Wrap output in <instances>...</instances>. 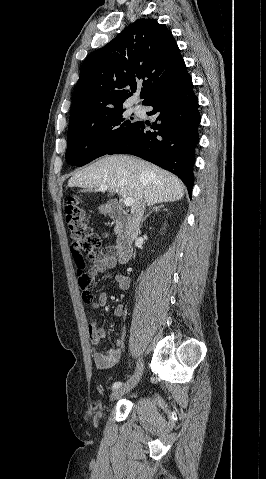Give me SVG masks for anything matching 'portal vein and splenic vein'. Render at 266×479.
Wrapping results in <instances>:
<instances>
[{
    "label": "portal vein and splenic vein",
    "mask_w": 266,
    "mask_h": 479,
    "mask_svg": "<svg viewBox=\"0 0 266 479\" xmlns=\"http://www.w3.org/2000/svg\"><path fill=\"white\" fill-rule=\"evenodd\" d=\"M107 189H108V187L106 185H102L98 188V190L101 191V192H105V191H107ZM123 203L127 207L133 206L134 199L132 197H126V198H124Z\"/></svg>",
    "instance_id": "portal-vein-and-splenic-vein-1"
}]
</instances>
